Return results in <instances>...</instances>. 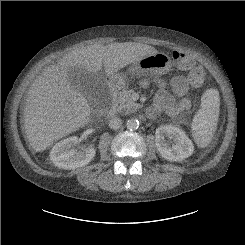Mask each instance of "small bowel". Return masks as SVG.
I'll return each mask as SVG.
<instances>
[{
	"label": "small bowel",
	"instance_id": "obj_1",
	"mask_svg": "<svg viewBox=\"0 0 245 245\" xmlns=\"http://www.w3.org/2000/svg\"><path fill=\"white\" fill-rule=\"evenodd\" d=\"M150 83H154L158 90L153 104L147 110L148 118H154L159 112H164L169 117H175L190 107L191 101L185 96L188 86L184 76L179 75L172 78L171 91L167 89L164 81L156 80L150 81Z\"/></svg>",
	"mask_w": 245,
	"mask_h": 245
}]
</instances>
